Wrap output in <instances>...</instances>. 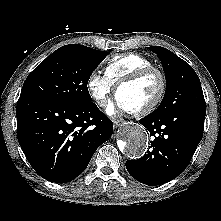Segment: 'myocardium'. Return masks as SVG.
Here are the masks:
<instances>
[{"label": "myocardium", "mask_w": 221, "mask_h": 221, "mask_svg": "<svg viewBox=\"0 0 221 221\" xmlns=\"http://www.w3.org/2000/svg\"><path fill=\"white\" fill-rule=\"evenodd\" d=\"M151 74H156L160 80V89H159L157 96L155 97V99L152 102H150L148 105H146L142 108H139L136 110L126 109L125 111L128 112L129 114L134 115V116H144V115H147V114L151 113L152 111H154L160 105V103L162 102V100L165 96L166 89H167L166 76L160 69L152 66V67H146V68H142L138 71H135L134 73L123 78L122 80H120L116 84L115 95L117 96L118 91L122 87L136 83Z\"/></svg>", "instance_id": "1"}]
</instances>
